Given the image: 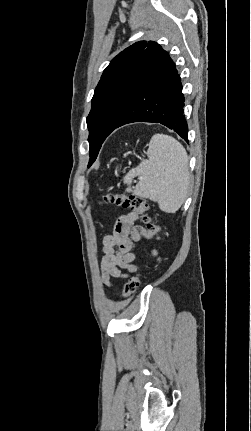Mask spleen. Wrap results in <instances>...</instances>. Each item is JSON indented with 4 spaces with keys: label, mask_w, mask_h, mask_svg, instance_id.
Returning a JSON list of instances; mask_svg holds the SVG:
<instances>
[{
    "label": "spleen",
    "mask_w": 251,
    "mask_h": 431,
    "mask_svg": "<svg viewBox=\"0 0 251 431\" xmlns=\"http://www.w3.org/2000/svg\"><path fill=\"white\" fill-rule=\"evenodd\" d=\"M147 155V160H143L123 178L124 183L128 184L126 191L150 198L164 212L175 213L184 203L190 183L187 152L175 138L155 134L149 143ZM136 176H140V181L132 189L130 185Z\"/></svg>",
    "instance_id": "3e777b00"
}]
</instances>
